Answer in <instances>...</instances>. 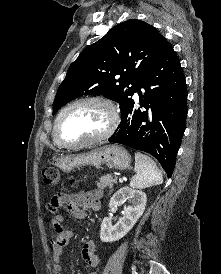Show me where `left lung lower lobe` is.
I'll return each mask as SVG.
<instances>
[{"instance_id": "left-lung-lower-lobe-1", "label": "left lung lower lobe", "mask_w": 221, "mask_h": 274, "mask_svg": "<svg viewBox=\"0 0 221 274\" xmlns=\"http://www.w3.org/2000/svg\"><path fill=\"white\" fill-rule=\"evenodd\" d=\"M136 92L142 109L131 99L109 141L150 153L171 177L188 112L185 76L171 45L141 75Z\"/></svg>"}]
</instances>
